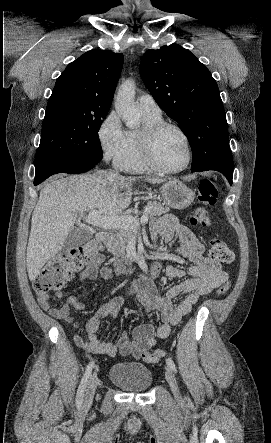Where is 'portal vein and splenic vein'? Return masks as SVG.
Returning <instances> with one entry per match:
<instances>
[{
	"instance_id": "obj_1",
	"label": "portal vein and splenic vein",
	"mask_w": 271,
	"mask_h": 443,
	"mask_svg": "<svg viewBox=\"0 0 271 443\" xmlns=\"http://www.w3.org/2000/svg\"><path fill=\"white\" fill-rule=\"evenodd\" d=\"M83 220L87 223H92V225H98V227H103V229H111V227H120V229H128V227H138L139 220L133 218V216H101L99 212L91 210L88 216H83ZM141 223L148 222V214L142 216Z\"/></svg>"
}]
</instances>
